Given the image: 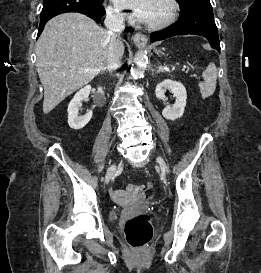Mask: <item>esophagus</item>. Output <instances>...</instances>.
Instances as JSON below:
<instances>
[{
  "instance_id": "1",
  "label": "esophagus",
  "mask_w": 261,
  "mask_h": 273,
  "mask_svg": "<svg viewBox=\"0 0 261 273\" xmlns=\"http://www.w3.org/2000/svg\"><path fill=\"white\" fill-rule=\"evenodd\" d=\"M134 43L138 46L146 45L147 43V36L142 33H135L132 37Z\"/></svg>"
}]
</instances>
